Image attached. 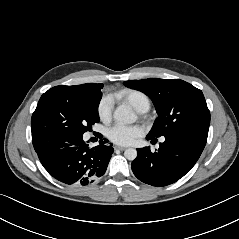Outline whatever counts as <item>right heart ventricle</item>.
Returning a JSON list of instances; mask_svg holds the SVG:
<instances>
[{
    "label": "right heart ventricle",
    "instance_id": "1",
    "mask_svg": "<svg viewBox=\"0 0 239 239\" xmlns=\"http://www.w3.org/2000/svg\"><path fill=\"white\" fill-rule=\"evenodd\" d=\"M118 97L122 98L138 112H142L144 108L147 107L149 109L150 107L149 98L138 90H125L121 92Z\"/></svg>",
    "mask_w": 239,
    "mask_h": 239
}]
</instances>
